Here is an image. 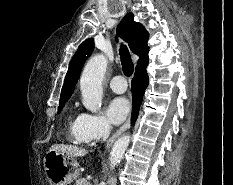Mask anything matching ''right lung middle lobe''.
Returning <instances> with one entry per match:
<instances>
[{"label":"right lung middle lobe","mask_w":233,"mask_h":185,"mask_svg":"<svg viewBox=\"0 0 233 185\" xmlns=\"http://www.w3.org/2000/svg\"><path fill=\"white\" fill-rule=\"evenodd\" d=\"M65 102H66V101H62V102L59 103L58 113H59V112L61 111V109L63 108Z\"/></svg>","instance_id":"obj_1"}]
</instances>
